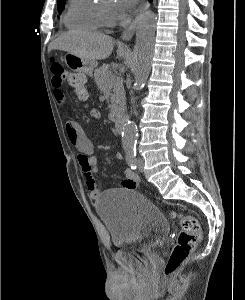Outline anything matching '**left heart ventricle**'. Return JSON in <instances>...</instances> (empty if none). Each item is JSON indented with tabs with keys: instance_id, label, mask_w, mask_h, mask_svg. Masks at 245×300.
I'll return each instance as SVG.
<instances>
[{
	"instance_id": "b2bd125f",
	"label": "left heart ventricle",
	"mask_w": 245,
	"mask_h": 300,
	"mask_svg": "<svg viewBox=\"0 0 245 300\" xmlns=\"http://www.w3.org/2000/svg\"><path fill=\"white\" fill-rule=\"evenodd\" d=\"M108 8L112 11V5L108 4Z\"/></svg>"
}]
</instances>
